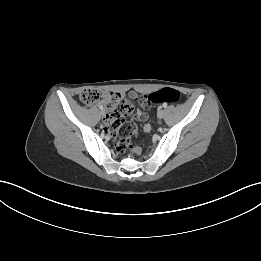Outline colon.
Masks as SVG:
<instances>
[{
  "label": "colon",
  "mask_w": 261,
  "mask_h": 261,
  "mask_svg": "<svg viewBox=\"0 0 261 261\" xmlns=\"http://www.w3.org/2000/svg\"><path fill=\"white\" fill-rule=\"evenodd\" d=\"M180 98V93L172 88H164L148 95V100L152 103H177ZM81 101L88 106L98 103L105 104L107 108L105 126L115 137L118 150L131 151L134 149L131 139L136 132V126L132 121L126 119V116L132 112V105L127 98L119 93H107L100 89L89 88L82 92Z\"/></svg>",
  "instance_id": "5ec220e1"
}]
</instances>
